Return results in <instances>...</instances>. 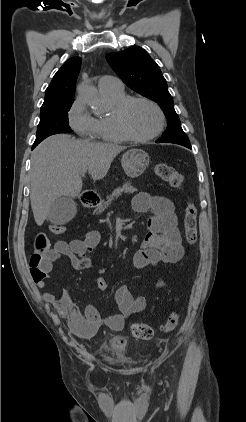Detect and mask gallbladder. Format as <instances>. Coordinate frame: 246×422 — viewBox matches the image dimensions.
Instances as JSON below:
<instances>
[{"label": "gallbladder", "mask_w": 246, "mask_h": 422, "mask_svg": "<svg viewBox=\"0 0 246 422\" xmlns=\"http://www.w3.org/2000/svg\"><path fill=\"white\" fill-rule=\"evenodd\" d=\"M76 212V203L73 198L60 196L51 205L47 220L55 225H63L72 220L76 215Z\"/></svg>", "instance_id": "bac80fb5"}]
</instances>
